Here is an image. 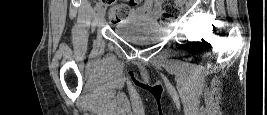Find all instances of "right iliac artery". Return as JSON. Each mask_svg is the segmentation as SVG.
<instances>
[{
    "mask_svg": "<svg viewBox=\"0 0 267 115\" xmlns=\"http://www.w3.org/2000/svg\"><path fill=\"white\" fill-rule=\"evenodd\" d=\"M102 3L101 2H97L96 3V6H95V9L98 10L100 7H101Z\"/></svg>",
    "mask_w": 267,
    "mask_h": 115,
    "instance_id": "1",
    "label": "right iliac artery"
}]
</instances>
